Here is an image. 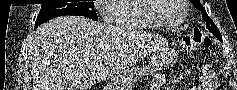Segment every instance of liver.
Returning a JSON list of instances; mask_svg holds the SVG:
<instances>
[{
	"label": "liver",
	"mask_w": 237,
	"mask_h": 90,
	"mask_svg": "<svg viewBox=\"0 0 237 90\" xmlns=\"http://www.w3.org/2000/svg\"><path fill=\"white\" fill-rule=\"evenodd\" d=\"M124 38L109 22L83 16H62L42 24L29 52L34 90H88L96 80L119 74L127 62Z\"/></svg>",
	"instance_id": "liver-1"
}]
</instances>
